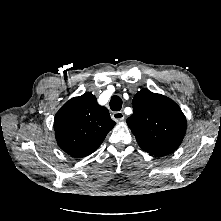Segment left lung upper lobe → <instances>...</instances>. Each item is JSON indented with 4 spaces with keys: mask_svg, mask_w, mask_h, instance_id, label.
Here are the masks:
<instances>
[{
    "mask_svg": "<svg viewBox=\"0 0 221 221\" xmlns=\"http://www.w3.org/2000/svg\"><path fill=\"white\" fill-rule=\"evenodd\" d=\"M133 112L127 124L144 151L165 156L179 147L187 122L174 101L142 89L133 98Z\"/></svg>",
    "mask_w": 221,
    "mask_h": 221,
    "instance_id": "5c2ea615",
    "label": "left lung upper lobe"
}]
</instances>
